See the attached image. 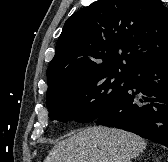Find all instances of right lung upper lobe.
<instances>
[{"mask_svg": "<svg viewBox=\"0 0 168 162\" xmlns=\"http://www.w3.org/2000/svg\"><path fill=\"white\" fill-rule=\"evenodd\" d=\"M167 55L168 9L161 0H99L65 22L48 88L94 73L130 74Z\"/></svg>", "mask_w": 168, "mask_h": 162, "instance_id": "1", "label": "right lung upper lobe"}]
</instances>
